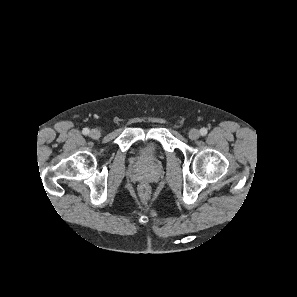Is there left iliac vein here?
<instances>
[{
    "label": "left iliac vein",
    "instance_id": "1",
    "mask_svg": "<svg viewBox=\"0 0 297 297\" xmlns=\"http://www.w3.org/2000/svg\"><path fill=\"white\" fill-rule=\"evenodd\" d=\"M189 138L190 139H192V140H196V139H198L199 138V136H200V133H199V131L197 130V129H191L190 131H189Z\"/></svg>",
    "mask_w": 297,
    "mask_h": 297
}]
</instances>
